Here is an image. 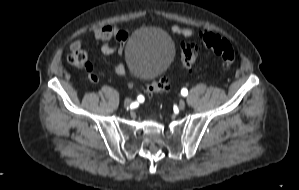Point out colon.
I'll use <instances>...</instances> for the list:
<instances>
[{
  "mask_svg": "<svg viewBox=\"0 0 299 190\" xmlns=\"http://www.w3.org/2000/svg\"><path fill=\"white\" fill-rule=\"evenodd\" d=\"M201 45L212 51L221 59L225 68H231L236 60V52L230 42L219 34L206 32L202 35ZM199 44L195 42H185L181 46L180 60L182 65L189 69L198 58ZM68 63L76 68H84L91 73L94 68L88 60V53L82 47H72L67 57ZM170 83L167 77L161 76L158 79L148 83L144 87L145 93L148 95L157 94L168 90Z\"/></svg>",
  "mask_w": 299,
  "mask_h": 190,
  "instance_id": "1",
  "label": "colon"
}]
</instances>
